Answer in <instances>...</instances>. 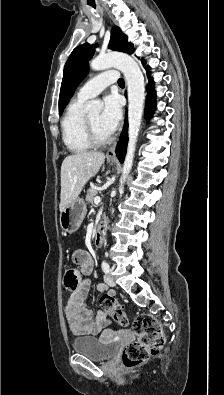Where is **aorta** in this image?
<instances>
[{
	"mask_svg": "<svg viewBox=\"0 0 224 395\" xmlns=\"http://www.w3.org/2000/svg\"><path fill=\"white\" fill-rule=\"evenodd\" d=\"M111 67L119 69L125 76L128 91V146L123 163L122 176L119 190L130 173L133 165L138 133L141 127L145 101V83L143 73L138 63L129 55L124 53H108L99 55L90 61V68L95 71L105 70ZM103 104L99 101H89L86 111L99 113Z\"/></svg>",
	"mask_w": 224,
	"mask_h": 395,
	"instance_id": "obj_1",
	"label": "aorta"
}]
</instances>
